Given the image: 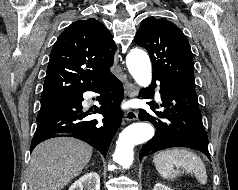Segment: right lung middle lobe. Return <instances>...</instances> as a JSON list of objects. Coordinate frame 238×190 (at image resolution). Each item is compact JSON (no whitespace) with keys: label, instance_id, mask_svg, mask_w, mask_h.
<instances>
[{"label":"right lung middle lobe","instance_id":"dd1d6c3e","mask_svg":"<svg viewBox=\"0 0 238 190\" xmlns=\"http://www.w3.org/2000/svg\"><path fill=\"white\" fill-rule=\"evenodd\" d=\"M70 100H71V98L70 99L61 100V101H56V102L41 103L40 110L45 109V108H49V107H52V106H56V105H59V104H62V103L68 102Z\"/></svg>","mask_w":238,"mask_h":190}]
</instances>
